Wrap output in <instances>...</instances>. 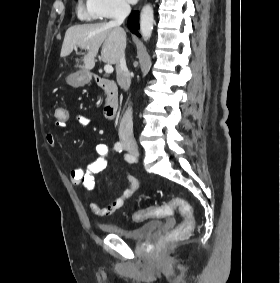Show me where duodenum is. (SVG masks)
Returning <instances> with one entry per match:
<instances>
[{
    "instance_id": "obj_1",
    "label": "duodenum",
    "mask_w": 280,
    "mask_h": 283,
    "mask_svg": "<svg viewBox=\"0 0 280 283\" xmlns=\"http://www.w3.org/2000/svg\"><path fill=\"white\" fill-rule=\"evenodd\" d=\"M93 78L105 95L103 106L104 114L107 118L112 119L117 114L119 108L117 85L113 80L98 75H94Z\"/></svg>"
}]
</instances>
